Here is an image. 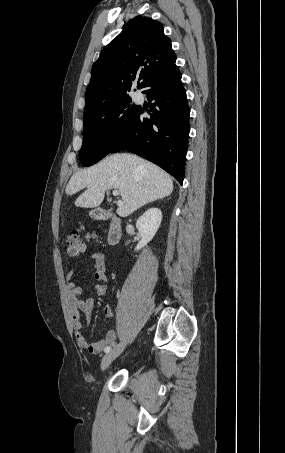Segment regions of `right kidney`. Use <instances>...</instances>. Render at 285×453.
Instances as JSON below:
<instances>
[{
	"label": "right kidney",
	"mask_w": 285,
	"mask_h": 453,
	"mask_svg": "<svg viewBox=\"0 0 285 453\" xmlns=\"http://www.w3.org/2000/svg\"><path fill=\"white\" fill-rule=\"evenodd\" d=\"M162 221V212L158 208L148 209L136 222V227L141 235V240L135 250L138 251L150 242L155 236Z\"/></svg>",
	"instance_id": "obj_1"
}]
</instances>
